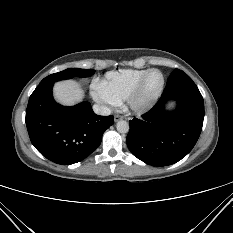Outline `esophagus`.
Wrapping results in <instances>:
<instances>
[{
  "instance_id": "obj_1",
  "label": "esophagus",
  "mask_w": 233,
  "mask_h": 233,
  "mask_svg": "<svg viewBox=\"0 0 233 233\" xmlns=\"http://www.w3.org/2000/svg\"><path fill=\"white\" fill-rule=\"evenodd\" d=\"M123 117L121 115H115L114 116V121L118 122L119 120H121Z\"/></svg>"
}]
</instances>
